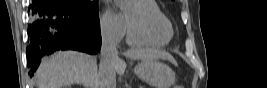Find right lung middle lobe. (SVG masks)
Segmentation results:
<instances>
[{
	"instance_id": "1",
	"label": "right lung middle lobe",
	"mask_w": 267,
	"mask_h": 88,
	"mask_svg": "<svg viewBox=\"0 0 267 88\" xmlns=\"http://www.w3.org/2000/svg\"><path fill=\"white\" fill-rule=\"evenodd\" d=\"M70 6L86 14L98 13L97 0H66Z\"/></svg>"
}]
</instances>
